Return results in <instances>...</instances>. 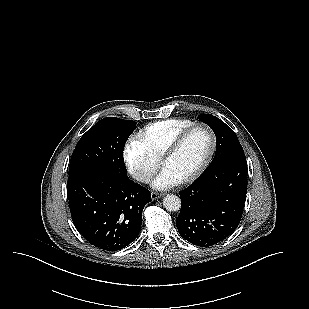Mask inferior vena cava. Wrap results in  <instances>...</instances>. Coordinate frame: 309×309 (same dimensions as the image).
I'll return each mask as SVG.
<instances>
[{"label": "inferior vena cava", "instance_id": "602c4592", "mask_svg": "<svg viewBox=\"0 0 309 309\" xmlns=\"http://www.w3.org/2000/svg\"><path fill=\"white\" fill-rule=\"evenodd\" d=\"M135 179L141 182H149L150 181V176L148 174L144 173H137L135 175Z\"/></svg>", "mask_w": 309, "mask_h": 309}]
</instances>
